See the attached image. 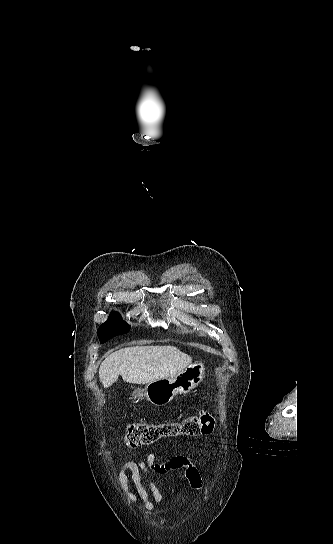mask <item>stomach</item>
I'll return each instance as SVG.
<instances>
[{"label":"stomach","mask_w":333,"mask_h":544,"mask_svg":"<svg viewBox=\"0 0 333 544\" xmlns=\"http://www.w3.org/2000/svg\"><path fill=\"white\" fill-rule=\"evenodd\" d=\"M205 377V365L202 362L191 363L174 377L161 378L147 383L144 389L133 392V398H146L155 406L168 404L174 396L188 393L200 384Z\"/></svg>","instance_id":"0dacf381"}]
</instances>
